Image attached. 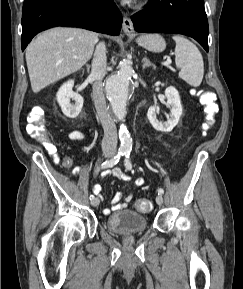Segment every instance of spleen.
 I'll return each mask as SVG.
<instances>
[{
    "mask_svg": "<svg viewBox=\"0 0 243 289\" xmlns=\"http://www.w3.org/2000/svg\"><path fill=\"white\" fill-rule=\"evenodd\" d=\"M172 38L176 42L175 64L180 70L179 77L189 85L198 87L204 75V63L200 51L183 36L174 35Z\"/></svg>",
    "mask_w": 243,
    "mask_h": 289,
    "instance_id": "3e777b00",
    "label": "spleen"
}]
</instances>
